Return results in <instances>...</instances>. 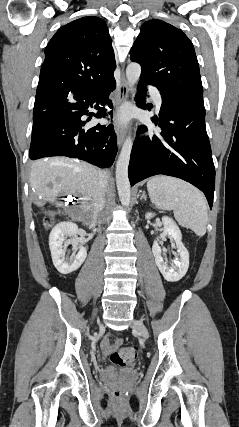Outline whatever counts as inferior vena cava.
I'll return each mask as SVG.
<instances>
[{"instance_id":"inferior-vena-cava-1","label":"inferior vena cava","mask_w":239,"mask_h":427,"mask_svg":"<svg viewBox=\"0 0 239 427\" xmlns=\"http://www.w3.org/2000/svg\"><path fill=\"white\" fill-rule=\"evenodd\" d=\"M107 182H108V172L101 171L99 174L98 189L94 199L96 215L100 214L105 207V203H106L105 192L107 188Z\"/></svg>"}]
</instances>
